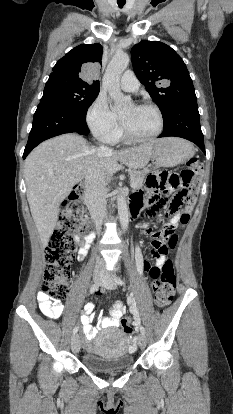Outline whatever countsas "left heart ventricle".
Here are the masks:
<instances>
[{"label":"left heart ventricle","mask_w":233,"mask_h":414,"mask_svg":"<svg viewBox=\"0 0 233 414\" xmlns=\"http://www.w3.org/2000/svg\"><path fill=\"white\" fill-rule=\"evenodd\" d=\"M120 117L129 130L138 136H149L159 127L158 115L150 108L130 104L120 111Z\"/></svg>","instance_id":"b2bd125f"}]
</instances>
